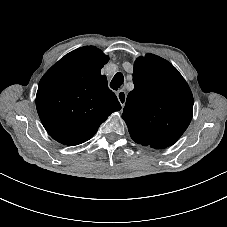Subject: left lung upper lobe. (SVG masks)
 <instances>
[{"label": "left lung upper lobe", "instance_id": "5c2ea615", "mask_svg": "<svg viewBox=\"0 0 227 227\" xmlns=\"http://www.w3.org/2000/svg\"><path fill=\"white\" fill-rule=\"evenodd\" d=\"M133 83L122 114L131 138L156 149L174 144L193 115L187 82L167 60L147 54L135 61Z\"/></svg>", "mask_w": 227, "mask_h": 227}]
</instances>
